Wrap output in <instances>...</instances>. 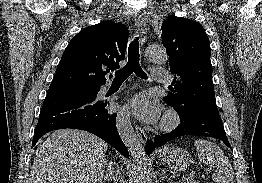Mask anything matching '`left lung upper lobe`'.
<instances>
[{"label":"left lung upper lobe","instance_id":"5c2ea615","mask_svg":"<svg viewBox=\"0 0 262 183\" xmlns=\"http://www.w3.org/2000/svg\"><path fill=\"white\" fill-rule=\"evenodd\" d=\"M162 43L175 74L171 93L163 100L175 110L216 109L211 49L203 27L189 19L170 16L162 23Z\"/></svg>","mask_w":262,"mask_h":183}]
</instances>
